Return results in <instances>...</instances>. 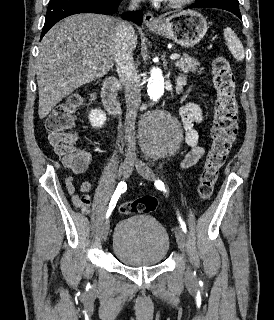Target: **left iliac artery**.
<instances>
[{"label": "left iliac artery", "instance_id": "44dca946", "mask_svg": "<svg viewBox=\"0 0 274 320\" xmlns=\"http://www.w3.org/2000/svg\"><path fill=\"white\" fill-rule=\"evenodd\" d=\"M155 186L157 187V189L166 192L165 185L161 180H156L155 181ZM178 220H179V223L181 225L182 230L186 233L187 232L186 224H185V222L183 221V219L181 218L180 215H178Z\"/></svg>", "mask_w": 274, "mask_h": 320}]
</instances>
